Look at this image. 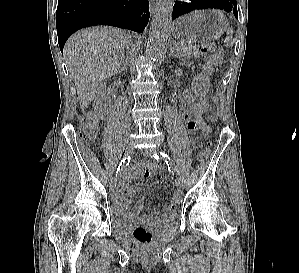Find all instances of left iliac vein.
<instances>
[{"label":"left iliac vein","mask_w":299,"mask_h":273,"mask_svg":"<svg viewBox=\"0 0 299 273\" xmlns=\"http://www.w3.org/2000/svg\"><path fill=\"white\" fill-rule=\"evenodd\" d=\"M156 152H158V150L156 148H152V149L143 151V153H145L147 155H153ZM175 184H176L177 187H181L182 186V180L179 177H176Z\"/></svg>","instance_id":"left-iliac-vein-1"}]
</instances>
